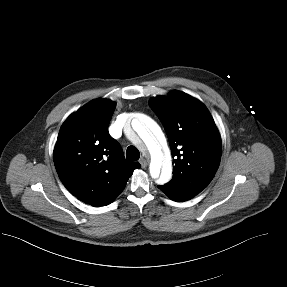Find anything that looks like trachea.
<instances>
[{"label": "trachea", "instance_id": "3493384b", "mask_svg": "<svg viewBox=\"0 0 287 287\" xmlns=\"http://www.w3.org/2000/svg\"><path fill=\"white\" fill-rule=\"evenodd\" d=\"M126 158L131 161H137L140 158L139 150L134 146H129L126 151Z\"/></svg>", "mask_w": 287, "mask_h": 287}]
</instances>
